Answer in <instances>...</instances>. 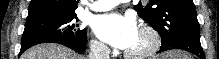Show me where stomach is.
<instances>
[{
  "label": "stomach",
  "mask_w": 219,
  "mask_h": 59,
  "mask_svg": "<svg viewBox=\"0 0 219 59\" xmlns=\"http://www.w3.org/2000/svg\"><path fill=\"white\" fill-rule=\"evenodd\" d=\"M164 57H167V58L172 59V58H171V57H172L171 53H168V54L164 55Z\"/></svg>",
  "instance_id": "1"
}]
</instances>
